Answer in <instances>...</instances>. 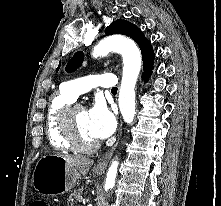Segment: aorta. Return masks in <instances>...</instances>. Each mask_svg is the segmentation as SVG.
I'll use <instances>...</instances> for the list:
<instances>
[{
  "label": "aorta",
  "instance_id": "762f6f07",
  "mask_svg": "<svg viewBox=\"0 0 221 206\" xmlns=\"http://www.w3.org/2000/svg\"><path fill=\"white\" fill-rule=\"evenodd\" d=\"M110 52H118L123 58V73L119 91V108L126 123H131L135 116V85L141 69V53L137 45L129 38L112 35L102 39L92 51L94 58L103 57ZM118 161H112L106 177L105 190L115 185Z\"/></svg>",
  "mask_w": 221,
  "mask_h": 206
}]
</instances>
